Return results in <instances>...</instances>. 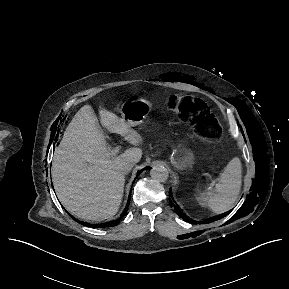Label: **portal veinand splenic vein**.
Wrapping results in <instances>:
<instances>
[{
	"instance_id": "1",
	"label": "portal vein and splenic vein",
	"mask_w": 289,
	"mask_h": 289,
	"mask_svg": "<svg viewBox=\"0 0 289 289\" xmlns=\"http://www.w3.org/2000/svg\"><path fill=\"white\" fill-rule=\"evenodd\" d=\"M118 153V147L114 148L112 151H111V156H116Z\"/></svg>"
}]
</instances>
